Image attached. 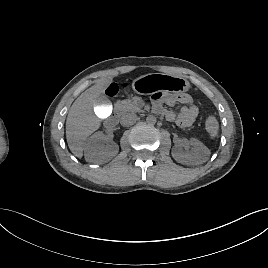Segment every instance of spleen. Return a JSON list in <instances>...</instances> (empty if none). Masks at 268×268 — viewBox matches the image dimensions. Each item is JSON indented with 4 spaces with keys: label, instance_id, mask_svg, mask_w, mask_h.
<instances>
[{
    "label": "spleen",
    "instance_id": "1",
    "mask_svg": "<svg viewBox=\"0 0 268 268\" xmlns=\"http://www.w3.org/2000/svg\"><path fill=\"white\" fill-rule=\"evenodd\" d=\"M205 129L209 133L210 138H215L218 135L219 123L215 116L211 115L206 119Z\"/></svg>",
    "mask_w": 268,
    "mask_h": 268
}]
</instances>
